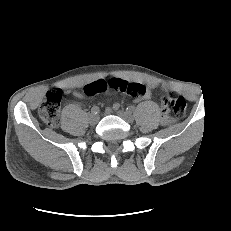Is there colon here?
Wrapping results in <instances>:
<instances>
[{"label":"colon","mask_w":231,"mask_h":231,"mask_svg":"<svg viewBox=\"0 0 231 231\" xmlns=\"http://www.w3.org/2000/svg\"><path fill=\"white\" fill-rule=\"evenodd\" d=\"M106 91H114L138 97L143 95L146 89L134 82H127L121 79L97 80L84 87V92L88 96H93ZM164 109L171 112L175 117H181L186 110L185 99L175 91H168L163 95ZM61 105V91L51 89L47 92L45 99L39 107V115L42 121L51 128L59 123V112Z\"/></svg>","instance_id":"1"}]
</instances>
